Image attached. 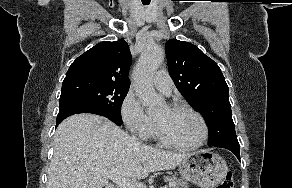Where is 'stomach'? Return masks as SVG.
Wrapping results in <instances>:
<instances>
[{
  "mask_svg": "<svg viewBox=\"0 0 292 188\" xmlns=\"http://www.w3.org/2000/svg\"><path fill=\"white\" fill-rule=\"evenodd\" d=\"M227 170L224 158L209 149L189 153L179 165L181 176L200 188H214Z\"/></svg>",
  "mask_w": 292,
  "mask_h": 188,
  "instance_id": "1",
  "label": "stomach"
}]
</instances>
